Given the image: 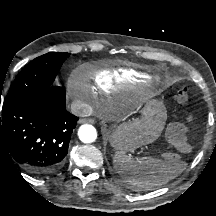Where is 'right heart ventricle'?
<instances>
[{
  "label": "right heart ventricle",
  "mask_w": 216,
  "mask_h": 216,
  "mask_svg": "<svg viewBox=\"0 0 216 216\" xmlns=\"http://www.w3.org/2000/svg\"><path fill=\"white\" fill-rule=\"evenodd\" d=\"M93 81L101 93H110L116 87L129 84L135 86L139 83L138 76L127 69H106L93 74Z\"/></svg>",
  "instance_id": "1"
}]
</instances>
